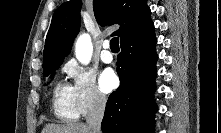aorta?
Instances as JSON below:
<instances>
[{
    "mask_svg": "<svg viewBox=\"0 0 221 133\" xmlns=\"http://www.w3.org/2000/svg\"><path fill=\"white\" fill-rule=\"evenodd\" d=\"M92 52L91 37L86 33L80 35L75 45V55L78 61L82 64H88L91 60Z\"/></svg>",
    "mask_w": 221,
    "mask_h": 133,
    "instance_id": "obj_1",
    "label": "aorta"
}]
</instances>
